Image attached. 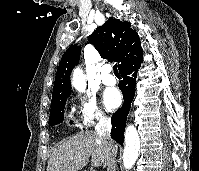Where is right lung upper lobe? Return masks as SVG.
Segmentation results:
<instances>
[{
  "label": "right lung upper lobe",
  "instance_id": "cb5924a9",
  "mask_svg": "<svg viewBox=\"0 0 199 171\" xmlns=\"http://www.w3.org/2000/svg\"><path fill=\"white\" fill-rule=\"evenodd\" d=\"M88 40L102 58L118 62L119 69L143 56L139 36L129 22L111 18L97 27ZM80 53L81 46L75 44L62 56L56 72L51 104L70 96V74L79 62Z\"/></svg>",
  "mask_w": 199,
  "mask_h": 171
}]
</instances>
